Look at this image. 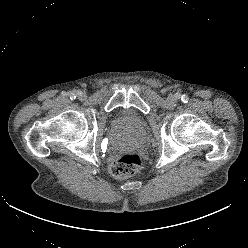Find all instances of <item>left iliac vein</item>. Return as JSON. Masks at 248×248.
I'll list each match as a JSON object with an SVG mask.
<instances>
[{"mask_svg": "<svg viewBox=\"0 0 248 248\" xmlns=\"http://www.w3.org/2000/svg\"><path fill=\"white\" fill-rule=\"evenodd\" d=\"M176 100H177V97L174 96V95H170V96L168 97V101H169L170 103H174V102H176Z\"/></svg>", "mask_w": 248, "mask_h": 248, "instance_id": "4c4485c4", "label": "left iliac vein"}]
</instances>
